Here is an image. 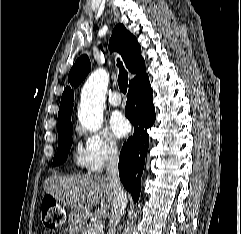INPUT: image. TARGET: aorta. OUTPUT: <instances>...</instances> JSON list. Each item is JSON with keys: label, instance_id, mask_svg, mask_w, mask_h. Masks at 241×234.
<instances>
[{"label": "aorta", "instance_id": "762f6f07", "mask_svg": "<svg viewBox=\"0 0 241 234\" xmlns=\"http://www.w3.org/2000/svg\"><path fill=\"white\" fill-rule=\"evenodd\" d=\"M108 83V73L99 68L88 77L83 86L78 119L90 131H98L103 125V105Z\"/></svg>", "mask_w": 241, "mask_h": 234}]
</instances>
